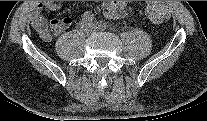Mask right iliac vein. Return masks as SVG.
<instances>
[{
    "instance_id": "right-iliac-vein-1",
    "label": "right iliac vein",
    "mask_w": 207,
    "mask_h": 121,
    "mask_svg": "<svg viewBox=\"0 0 207 121\" xmlns=\"http://www.w3.org/2000/svg\"><path fill=\"white\" fill-rule=\"evenodd\" d=\"M82 29L85 32H91L92 31V26L89 23H87V22H83L82 23Z\"/></svg>"
}]
</instances>
